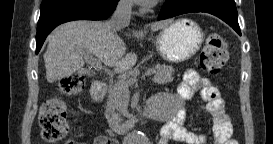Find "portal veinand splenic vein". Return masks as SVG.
Wrapping results in <instances>:
<instances>
[{"instance_id":"1","label":"portal vein and splenic vein","mask_w":273,"mask_h":144,"mask_svg":"<svg viewBox=\"0 0 273 144\" xmlns=\"http://www.w3.org/2000/svg\"><path fill=\"white\" fill-rule=\"evenodd\" d=\"M83 54H84V57L87 58V60H89V62L91 63V65L93 67H95L97 69L101 68V62L98 59L94 58L90 53L83 52ZM155 72H156L155 69H150L144 74V76H151ZM124 85H125V83H124Z\"/></svg>"}]
</instances>
